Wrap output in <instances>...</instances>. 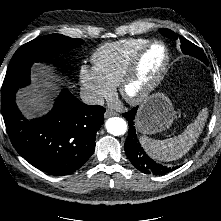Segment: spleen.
I'll list each match as a JSON object with an SVG mask.
<instances>
[{
  "instance_id": "obj_1",
  "label": "spleen",
  "mask_w": 221,
  "mask_h": 221,
  "mask_svg": "<svg viewBox=\"0 0 221 221\" xmlns=\"http://www.w3.org/2000/svg\"><path fill=\"white\" fill-rule=\"evenodd\" d=\"M208 117L206 109H202L194 122L190 123L178 136L157 140L141 136L140 142L150 157L157 161H173L185 155L197 142Z\"/></svg>"
}]
</instances>
